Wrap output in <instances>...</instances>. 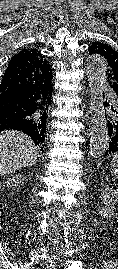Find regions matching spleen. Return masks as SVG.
<instances>
[{"mask_svg":"<svg viewBox=\"0 0 118 269\" xmlns=\"http://www.w3.org/2000/svg\"><path fill=\"white\" fill-rule=\"evenodd\" d=\"M111 170L118 177V153H116L111 161Z\"/></svg>","mask_w":118,"mask_h":269,"instance_id":"spleen-1","label":"spleen"}]
</instances>
